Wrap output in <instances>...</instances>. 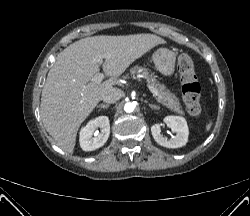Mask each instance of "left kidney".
Instances as JSON below:
<instances>
[{"mask_svg": "<svg viewBox=\"0 0 250 216\" xmlns=\"http://www.w3.org/2000/svg\"><path fill=\"white\" fill-rule=\"evenodd\" d=\"M164 123L176 133L173 139L168 140L161 134V124H154L151 132L154 140L161 146L167 148H179L186 145L189 130L185 118L180 116H166Z\"/></svg>", "mask_w": 250, "mask_h": 216, "instance_id": "obj_1", "label": "left kidney"}]
</instances>
